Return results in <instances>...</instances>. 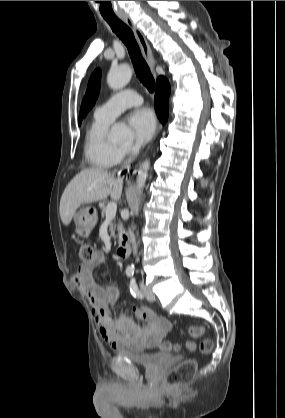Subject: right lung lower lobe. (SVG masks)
<instances>
[{
  "label": "right lung lower lobe",
  "instance_id": "98d812e1",
  "mask_svg": "<svg viewBox=\"0 0 285 418\" xmlns=\"http://www.w3.org/2000/svg\"><path fill=\"white\" fill-rule=\"evenodd\" d=\"M170 84L168 80L160 76L156 81L155 103L159 120L164 124L168 119V100L170 95Z\"/></svg>",
  "mask_w": 285,
  "mask_h": 418
}]
</instances>
